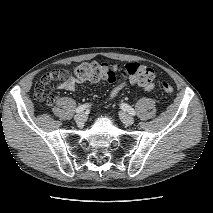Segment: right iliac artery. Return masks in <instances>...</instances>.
Listing matches in <instances>:
<instances>
[{"label": "right iliac artery", "instance_id": "right-iliac-artery-1", "mask_svg": "<svg viewBox=\"0 0 213 213\" xmlns=\"http://www.w3.org/2000/svg\"><path fill=\"white\" fill-rule=\"evenodd\" d=\"M88 107H89V104L80 105L79 107H77L76 113H81V112H83Z\"/></svg>", "mask_w": 213, "mask_h": 213}]
</instances>
